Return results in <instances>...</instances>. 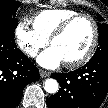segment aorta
<instances>
[{
	"label": "aorta",
	"instance_id": "aorta-1",
	"mask_svg": "<svg viewBox=\"0 0 108 108\" xmlns=\"http://www.w3.org/2000/svg\"><path fill=\"white\" fill-rule=\"evenodd\" d=\"M44 89L48 93H56L59 89V84L55 79L49 78L44 83Z\"/></svg>",
	"mask_w": 108,
	"mask_h": 108
}]
</instances>
